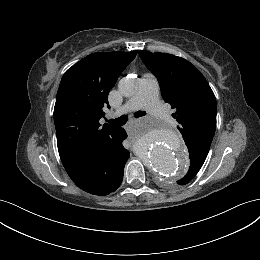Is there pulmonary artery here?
<instances>
[{
    "label": "pulmonary artery",
    "mask_w": 260,
    "mask_h": 260,
    "mask_svg": "<svg viewBox=\"0 0 260 260\" xmlns=\"http://www.w3.org/2000/svg\"><path fill=\"white\" fill-rule=\"evenodd\" d=\"M143 108L166 124L173 122V118L159 102L158 80L150 73H146L141 77L139 91L125 105L119 108L117 113L122 115Z\"/></svg>",
    "instance_id": "pulmonary-artery-1"
}]
</instances>
